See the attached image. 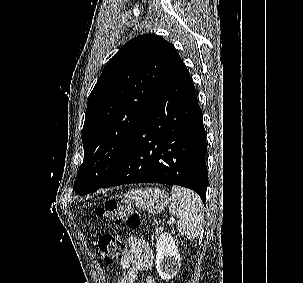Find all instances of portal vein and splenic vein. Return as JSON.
Masks as SVG:
<instances>
[{
    "label": "portal vein and splenic vein",
    "instance_id": "18ae733b",
    "mask_svg": "<svg viewBox=\"0 0 303 283\" xmlns=\"http://www.w3.org/2000/svg\"><path fill=\"white\" fill-rule=\"evenodd\" d=\"M173 221H174V218H170V220L168 222L171 223Z\"/></svg>",
    "mask_w": 303,
    "mask_h": 283
}]
</instances>
